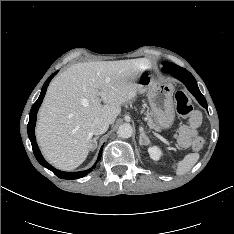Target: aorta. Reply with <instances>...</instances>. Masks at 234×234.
Returning a JSON list of instances; mask_svg holds the SVG:
<instances>
[{
	"label": "aorta",
	"instance_id": "obj_1",
	"mask_svg": "<svg viewBox=\"0 0 234 234\" xmlns=\"http://www.w3.org/2000/svg\"><path fill=\"white\" fill-rule=\"evenodd\" d=\"M133 129L128 123L121 124L118 128V135L121 138H130L132 136Z\"/></svg>",
	"mask_w": 234,
	"mask_h": 234
}]
</instances>
